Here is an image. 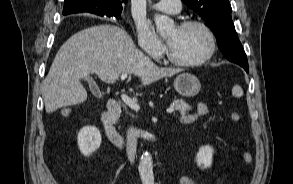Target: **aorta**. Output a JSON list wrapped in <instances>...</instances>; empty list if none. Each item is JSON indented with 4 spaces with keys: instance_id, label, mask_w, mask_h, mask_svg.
Wrapping results in <instances>:
<instances>
[{
    "instance_id": "aorta-1",
    "label": "aorta",
    "mask_w": 293,
    "mask_h": 184,
    "mask_svg": "<svg viewBox=\"0 0 293 184\" xmlns=\"http://www.w3.org/2000/svg\"><path fill=\"white\" fill-rule=\"evenodd\" d=\"M154 21L160 34L169 32L174 27L173 20L164 15L156 14ZM138 169L143 184H154L153 162L150 153L146 152L142 155Z\"/></svg>"
}]
</instances>
